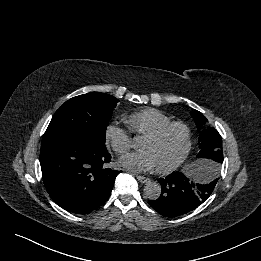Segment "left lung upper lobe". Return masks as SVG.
Segmentation results:
<instances>
[{
	"label": "left lung upper lobe",
	"mask_w": 261,
	"mask_h": 261,
	"mask_svg": "<svg viewBox=\"0 0 261 261\" xmlns=\"http://www.w3.org/2000/svg\"><path fill=\"white\" fill-rule=\"evenodd\" d=\"M191 116L195 120L198 128L205 124V116L197 111L191 113ZM199 147L200 152L198 153V158L206 159L205 163L213 165L217 168L223 162V152H222V138L217 130L214 128H208L204 130L199 137Z\"/></svg>",
	"instance_id": "left-lung-upper-lobe-1"
}]
</instances>
